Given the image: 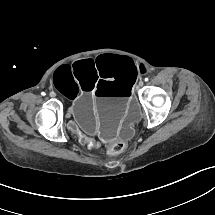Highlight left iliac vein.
Listing matches in <instances>:
<instances>
[{"instance_id": "obj_1", "label": "left iliac vein", "mask_w": 215, "mask_h": 215, "mask_svg": "<svg viewBox=\"0 0 215 215\" xmlns=\"http://www.w3.org/2000/svg\"><path fill=\"white\" fill-rule=\"evenodd\" d=\"M143 84H144V83H143V81H140V82H139V86H141V87H142V86H143Z\"/></svg>"}]
</instances>
